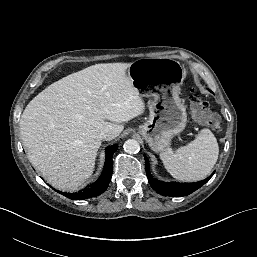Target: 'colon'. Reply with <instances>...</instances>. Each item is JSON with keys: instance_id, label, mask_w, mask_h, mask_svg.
I'll return each mask as SVG.
<instances>
[{"instance_id": "1", "label": "colon", "mask_w": 257, "mask_h": 257, "mask_svg": "<svg viewBox=\"0 0 257 257\" xmlns=\"http://www.w3.org/2000/svg\"><path fill=\"white\" fill-rule=\"evenodd\" d=\"M190 103L195 121L216 131L221 129L220 118L210 112L208 102H206L200 95L193 93L191 95Z\"/></svg>"}]
</instances>
